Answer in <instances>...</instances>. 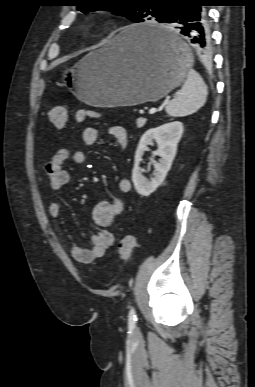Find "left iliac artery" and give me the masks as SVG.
Wrapping results in <instances>:
<instances>
[{"instance_id":"obj_1","label":"left iliac artery","mask_w":255,"mask_h":387,"mask_svg":"<svg viewBox=\"0 0 255 387\" xmlns=\"http://www.w3.org/2000/svg\"><path fill=\"white\" fill-rule=\"evenodd\" d=\"M137 321V315L135 309L132 307L128 314V323L130 328H134Z\"/></svg>"}]
</instances>
